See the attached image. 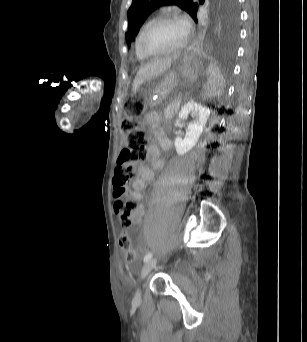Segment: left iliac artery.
Segmentation results:
<instances>
[{"mask_svg":"<svg viewBox=\"0 0 307 342\" xmlns=\"http://www.w3.org/2000/svg\"><path fill=\"white\" fill-rule=\"evenodd\" d=\"M152 258V252H149L147 253L145 256H144V262H147L149 259Z\"/></svg>","mask_w":307,"mask_h":342,"instance_id":"obj_1","label":"left iliac artery"}]
</instances>
